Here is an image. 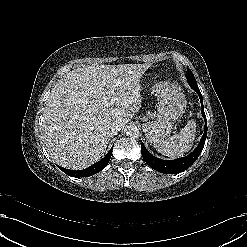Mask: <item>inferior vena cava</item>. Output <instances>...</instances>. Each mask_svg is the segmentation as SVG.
<instances>
[{"label":"inferior vena cava","instance_id":"inferior-vena-cava-1","mask_svg":"<svg viewBox=\"0 0 247 247\" xmlns=\"http://www.w3.org/2000/svg\"><path fill=\"white\" fill-rule=\"evenodd\" d=\"M122 129L121 125L118 123H113L108 125L106 128V133L109 137H113Z\"/></svg>","mask_w":247,"mask_h":247}]
</instances>
